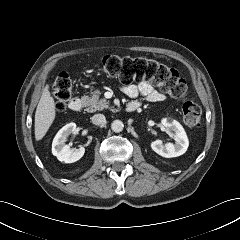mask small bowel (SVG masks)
I'll use <instances>...</instances> for the list:
<instances>
[{
  "label": "small bowel",
  "mask_w": 240,
  "mask_h": 240,
  "mask_svg": "<svg viewBox=\"0 0 240 240\" xmlns=\"http://www.w3.org/2000/svg\"><path fill=\"white\" fill-rule=\"evenodd\" d=\"M121 90L128 97L134 99L132 102H137L139 106L141 102L136 98L143 96L149 102H161L165 99V95L158 91L153 84L149 82H140L138 84L123 85Z\"/></svg>",
  "instance_id": "c3829d8e"
}]
</instances>
